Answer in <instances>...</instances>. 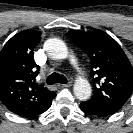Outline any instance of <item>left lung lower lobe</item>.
Here are the masks:
<instances>
[{"label":"left lung lower lobe","instance_id":"1","mask_svg":"<svg viewBox=\"0 0 133 133\" xmlns=\"http://www.w3.org/2000/svg\"><path fill=\"white\" fill-rule=\"evenodd\" d=\"M80 108L83 112H85L89 115H95L98 117H106V116L112 115L117 112L113 109L106 108V107H100V106L90 103L88 101L81 102Z\"/></svg>","mask_w":133,"mask_h":133}]
</instances>
